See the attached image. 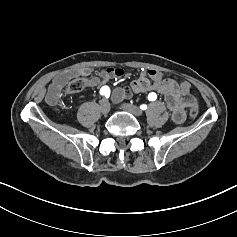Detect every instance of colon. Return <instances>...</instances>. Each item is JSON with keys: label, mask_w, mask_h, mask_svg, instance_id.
<instances>
[{"label": "colon", "mask_w": 237, "mask_h": 237, "mask_svg": "<svg viewBox=\"0 0 237 237\" xmlns=\"http://www.w3.org/2000/svg\"><path fill=\"white\" fill-rule=\"evenodd\" d=\"M87 85V80L85 78L79 77L73 79L67 86V93H77L82 91ZM199 110L196 104H194L190 109V116L196 118L198 116Z\"/></svg>", "instance_id": "colon-1"}]
</instances>
